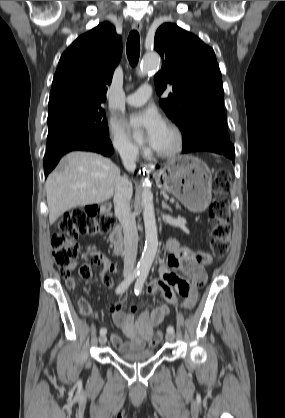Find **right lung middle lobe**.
<instances>
[{
  "label": "right lung middle lobe",
  "mask_w": 285,
  "mask_h": 418,
  "mask_svg": "<svg viewBox=\"0 0 285 418\" xmlns=\"http://www.w3.org/2000/svg\"><path fill=\"white\" fill-rule=\"evenodd\" d=\"M47 150L77 136L108 138L100 102L59 101L49 104Z\"/></svg>",
  "instance_id": "dd1d6c3e"
}]
</instances>
